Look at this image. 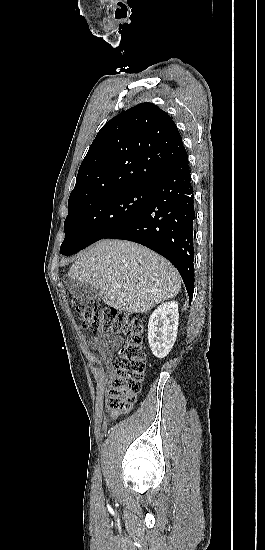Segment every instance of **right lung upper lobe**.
I'll use <instances>...</instances> for the list:
<instances>
[{
    "label": "right lung upper lobe",
    "mask_w": 265,
    "mask_h": 550,
    "mask_svg": "<svg viewBox=\"0 0 265 550\" xmlns=\"http://www.w3.org/2000/svg\"><path fill=\"white\" fill-rule=\"evenodd\" d=\"M185 153L171 117L152 103L138 104L111 119L97 133L80 165L68 204L152 187Z\"/></svg>",
    "instance_id": "1"
}]
</instances>
